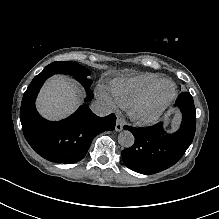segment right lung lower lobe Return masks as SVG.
I'll return each mask as SVG.
<instances>
[{"mask_svg":"<svg viewBox=\"0 0 219 219\" xmlns=\"http://www.w3.org/2000/svg\"><path fill=\"white\" fill-rule=\"evenodd\" d=\"M52 75L42 71L24 93L20 109L22 129L26 140L40 156L51 162L72 164L84 158L97 134L114 130L116 116L98 117L84 104L64 120L51 122L42 118L35 108V99L45 80ZM84 88L86 101H90L93 98L90 86Z\"/></svg>","mask_w":219,"mask_h":219,"instance_id":"right-lung-lower-lobe-1","label":"right lung lower lobe"}]
</instances>
